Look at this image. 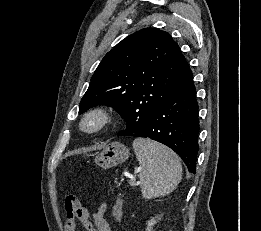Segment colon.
<instances>
[{
    "mask_svg": "<svg viewBox=\"0 0 261 231\" xmlns=\"http://www.w3.org/2000/svg\"><path fill=\"white\" fill-rule=\"evenodd\" d=\"M122 207L121 201H117L114 216H119L120 209ZM65 217L68 221H74L78 219L82 223L87 231H94V227L90 219L85 214V209L81 206L78 198L75 195H68L64 204Z\"/></svg>",
    "mask_w": 261,
    "mask_h": 231,
    "instance_id": "obj_1",
    "label": "colon"
}]
</instances>
